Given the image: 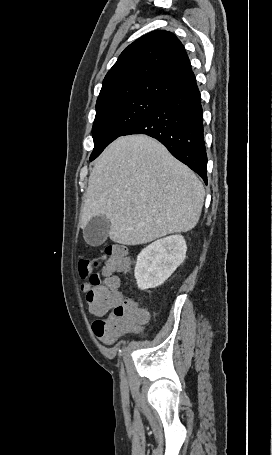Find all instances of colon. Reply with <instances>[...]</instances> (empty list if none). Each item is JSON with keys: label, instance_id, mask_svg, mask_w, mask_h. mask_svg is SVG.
Returning <instances> with one entry per match:
<instances>
[{"label": "colon", "instance_id": "1", "mask_svg": "<svg viewBox=\"0 0 272 455\" xmlns=\"http://www.w3.org/2000/svg\"><path fill=\"white\" fill-rule=\"evenodd\" d=\"M102 266V275L94 269ZM129 267L127 250L120 245H109L98 259L83 258L78 263L80 277L84 280L81 290L89 312L98 318L92 324L95 336L106 344L127 332L137 331L146 319V312L131 299L122 297L118 290L117 272Z\"/></svg>", "mask_w": 272, "mask_h": 455}]
</instances>
